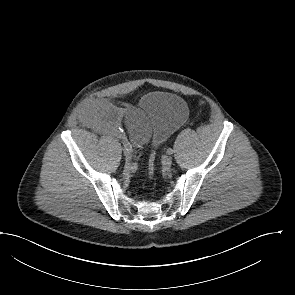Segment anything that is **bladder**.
I'll list each match as a JSON object with an SVG mask.
<instances>
[{
	"instance_id": "1",
	"label": "bladder",
	"mask_w": 295,
	"mask_h": 295,
	"mask_svg": "<svg viewBox=\"0 0 295 295\" xmlns=\"http://www.w3.org/2000/svg\"><path fill=\"white\" fill-rule=\"evenodd\" d=\"M152 127L151 140L159 144L188 117L186 102L171 92H151L143 96L139 107Z\"/></svg>"
}]
</instances>
